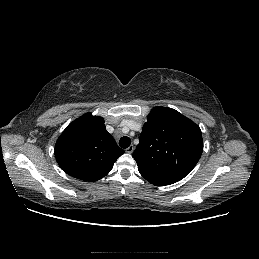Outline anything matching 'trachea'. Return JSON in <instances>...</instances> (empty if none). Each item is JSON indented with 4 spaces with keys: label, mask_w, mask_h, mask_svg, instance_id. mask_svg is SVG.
I'll return each mask as SVG.
<instances>
[{
    "label": "trachea",
    "mask_w": 259,
    "mask_h": 259,
    "mask_svg": "<svg viewBox=\"0 0 259 259\" xmlns=\"http://www.w3.org/2000/svg\"><path fill=\"white\" fill-rule=\"evenodd\" d=\"M130 144H131V139L127 136L122 137L119 141L120 147H122L124 149L128 148L130 146Z\"/></svg>",
    "instance_id": "3493384b"
}]
</instances>
